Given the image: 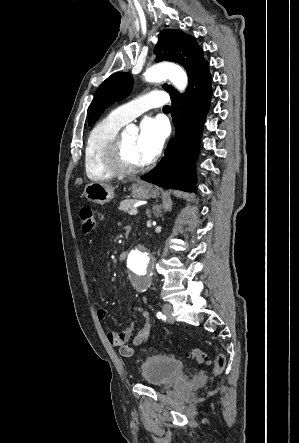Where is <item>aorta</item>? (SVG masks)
<instances>
[{"instance_id": "762f6f07", "label": "aorta", "mask_w": 299, "mask_h": 443, "mask_svg": "<svg viewBox=\"0 0 299 443\" xmlns=\"http://www.w3.org/2000/svg\"><path fill=\"white\" fill-rule=\"evenodd\" d=\"M144 77L148 82H161L169 79L179 91H184L188 84L185 71L174 64L154 65L144 73ZM126 131L136 133L138 129L134 125H128ZM149 264L150 254L141 246L135 247L128 255L127 267L141 280L147 276Z\"/></svg>"}]
</instances>
